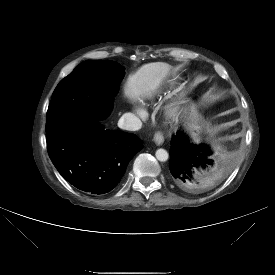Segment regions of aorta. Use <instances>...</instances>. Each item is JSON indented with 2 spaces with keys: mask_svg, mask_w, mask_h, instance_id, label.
I'll return each mask as SVG.
<instances>
[{
  "mask_svg": "<svg viewBox=\"0 0 275 275\" xmlns=\"http://www.w3.org/2000/svg\"><path fill=\"white\" fill-rule=\"evenodd\" d=\"M155 156L161 162H165L169 158L168 152L165 149L161 148L156 151Z\"/></svg>",
  "mask_w": 275,
  "mask_h": 275,
  "instance_id": "1",
  "label": "aorta"
}]
</instances>
